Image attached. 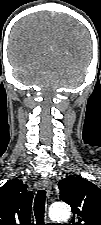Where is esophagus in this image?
I'll return each mask as SVG.
<instances>
[{"instance_id": "34e87169", "label": "esophagus", "mask_w": 101, "mask_h": 225, "mask_svg": "<svg viewBox=\"0 0 101 225\" xmlns=\"http://www.w3.org/2000/svg\"><path fill=\"white\" fill-rule=\"evenodd\" d=\"M39 185L42 189L47 191L48 195L50 194L52 184L49 178H42L39 182Z\"/></svg>"}]
</instances>
